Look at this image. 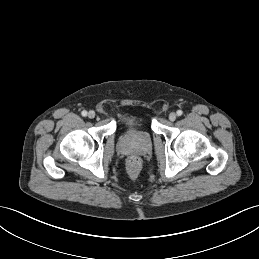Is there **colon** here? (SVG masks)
I'll list each match as a JSON object with an SVG mask.
<instances>
[{
  "label": "colon",
  "mask_w": 259,
  "mask_h": 259,
  "mask_svg": "<svg viewBox=\"0 0 259 259\" xmlns=\"http://www.w3.org/2000/svg\"><path fill=\"white\" fill-rule=\"evenodd\" d=\"M142 167L141 159L137 156H132L127 160L126 168L130 178L134 179L139 174Z\"/></svg>",
  "instance_id": "colon-1"
}]
</instances>
